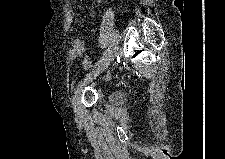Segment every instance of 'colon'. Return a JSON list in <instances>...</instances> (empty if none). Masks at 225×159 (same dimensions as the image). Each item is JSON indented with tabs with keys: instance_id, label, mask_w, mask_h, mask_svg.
Listing matches in <instances>:
<instances>
[{
	"instance_id": "obj_1",
	"label": "colon",
	"mask_w": 225,
	"mask_h": 159,
	"mask_svg": "<svg viewBox=\"0 0 225 159\" xmlns=\"http://www.w3.org/2000/svg\"><path fill=\"white\" fill-rule=\"evenodd\" d=\"M92 65H93V62L90 58L86 57L83 60V66H84L85 69H91ZM112 75L114 76V75H117V74H112Z\"/></svg>"
}]
</instances>
